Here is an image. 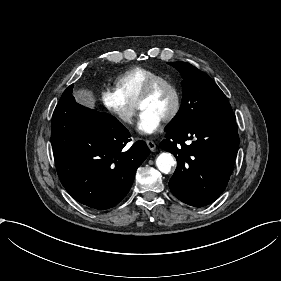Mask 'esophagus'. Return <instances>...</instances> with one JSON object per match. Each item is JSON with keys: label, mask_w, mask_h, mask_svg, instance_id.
I'll use <instances>...</instances> for the list:
<instances>
[{"label": "esophagus", "mask_w": 281, "mask_h": 281, "mask_svg": "<svg viewBox=\"0 0 281 281\" xmlns=\"http://www.w3.org/2000/svg\"><path fill=\"white\" fill-rule=\"evenodd\" d=\"M146 144L151 151L156 149V144L152 140H146Z\"/></svg>", "instance_id": "1"}]
</instances>
